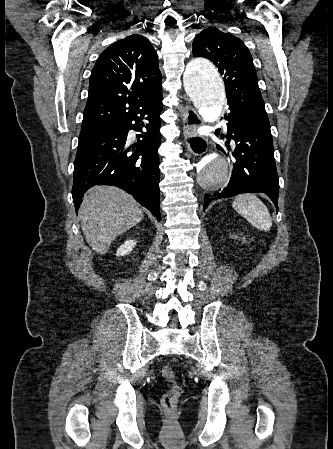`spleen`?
<instances>
[{"mask_svg":"<svg viewBox=\"0 0 333 449\" xmlns=\"http://www.w3.org/2000/svg\"><path fill=\"white\" fill-rule=\"evenodd\" d=\"M235 210L259 230L267 231L272 226L268 208L254 194H242L233 202Z\"/></svg>","mask_w":333,"mask_h":449,"instance_id":"spleen-1","label":"spleen"}]
</instances>
